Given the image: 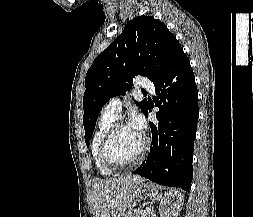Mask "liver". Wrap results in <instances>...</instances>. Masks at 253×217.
<instances>
[{
	"mask_svg": "<svg viewBox=\"0 0 253 217\" xmlns=\"http://www.w3.org/2000/svg\"><path fill=\"white\" fill-rule=\"evenodd\" d=\"M144 181L136 175L97 180L92 185L94 217H123L131 206L136 186Z\"/></svg>",
	"mask_w": 253,
	"mask_h": 217,
	"instance_id": "obj_1",
	"label": "liver"
}]
</instances>
